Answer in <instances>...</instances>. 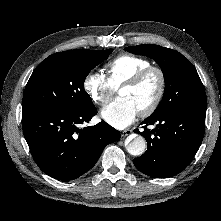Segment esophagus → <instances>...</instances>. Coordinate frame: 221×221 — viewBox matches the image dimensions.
<instances>
[{"label": "esophagus", "instance_id": "esophagus-1", "mask_svg": "<svg viewBox=\"0 0 221 221\" xmlns=\"http://www.w3.org/2000/svg\"><path fill=\"white\" fill-rule=\"evenodd\" d=\"M130 134H132V130H130V129H126V130H123V131L121 132V136H122V137H126V136H128V135H130Z\"/></svg>", "mask_w": 221, "mask_h": 221}]
</instances>
